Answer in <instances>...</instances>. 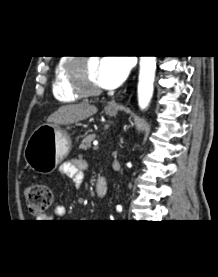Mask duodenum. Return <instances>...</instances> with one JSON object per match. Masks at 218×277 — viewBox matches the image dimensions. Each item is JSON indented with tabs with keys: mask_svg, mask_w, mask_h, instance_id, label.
Here are the masks:
<instances>
[{
	"mask_svg": "<svg viewBox=\"0 0 218 277\" xmlns=\"http://www.w3.org/2000/svg\"><path fill=\"white\" fill-rule=\"evenodd\" d=\"M95 190L99 197H104L108 191V182L105 178H98L95 183Z\"/></svg>",
	"mask_w": 218,
	"mask_h": 277,
	"instance_id": "410a0bca",
	"label": "duodenum"
}]
</instances>
